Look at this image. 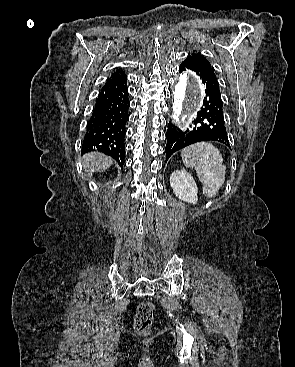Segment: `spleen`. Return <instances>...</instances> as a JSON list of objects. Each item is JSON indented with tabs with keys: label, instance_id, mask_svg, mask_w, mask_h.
<instances>
[{
	"label": "spleen",
	"instance_id": "1",
	"mask_svg": "<svg viewBox=\"0 0 295 367\" xmlns=\"http://www.w3.org/2000/svg\"><path fill=\"white\" fill-rule=\"evenodd\" d=\"M184 165L195 169L203 184L206 197H214L225 181L226 167L218 148L207 142H200L184 148L181 152Z\"/></svg>",
	"mask_w": 295,
	"mask_h": 367
}]
</instances>
